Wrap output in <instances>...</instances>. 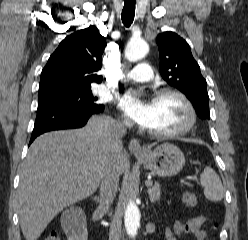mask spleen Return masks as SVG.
<instances>
[{
	"mask_svg": "<svg viewBox=\"0 0 248 240\" xmlns=\"http://www.w3.org/2000/svg\"><path fill=\"white\" fill-rule=\"evenodd\" d=\"M200 183L207 199L214 202L222 200L224 195L222 182L211 167H206L201 173Z\"/></svg>",
	"mask_w": 248,
	"mask_h": 240,
	"instance_id": "1",
	"label": "spleen"
}]
</instances>
